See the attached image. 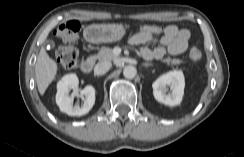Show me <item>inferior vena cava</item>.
I'll use <instances>...</instances> for the list:
<instances>
[{
	"label": "inferior vena cava",
	"instance_id": "602c4592",
	"mask_svg": "<svg viewBox=\"0 0 244 157\" xmlns=\"http://www.w3.org/2000/svg\"><path fill=\"white\" fill-rule=\"evenodd\" d=\"M111 66H112L111 62H108V61L99 62V63L96 64V66L94 68V72L97 75L105 74L106 72L109 71Z\"/></svg>",
	"mask_w": 244,
	"mask_h": 157
}]
</instances>
